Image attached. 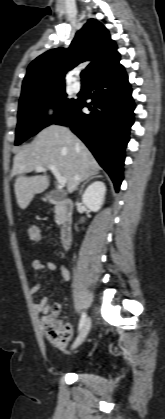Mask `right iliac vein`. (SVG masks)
<instances>
[{
	"mask_svg": "<svg viewBox=\"0 0 165 419\" xmlns=\"http://www.w3.org/2000/svg\"><path fill=\"white\" fill-rule=\"evenodd\" d=\"M90 329H91V319L88 317L85 320L84 325H83L78 337L76 338L75 342L73 343L72 349H75L80 344H82V342L86 339Z\"/></svg>",
	"mask_w": 165,
	"mask_h": 419,
	"instance_id": "1",
	"label": "right iliac vein"
}]
</instances>
